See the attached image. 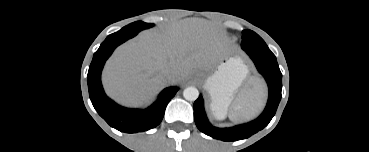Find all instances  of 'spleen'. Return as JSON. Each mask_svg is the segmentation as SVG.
I'll use <instances>...</instances> for the list:
<instances>
[{"mask_svg": "<svg viewBox=\"0 0 369 152\" xmlns=\"http://www.w3.org/2000/svg\"><path fill=\"white\" fill-rule=\"evenodd\" d=\"M265 96L263 88L243 93L230 110L229 118L236 122L253 118L263 108Z\"/></svg>", "mask_w": 369, "mask_h": 152, "instance_id": "obj_1", "label": "spleen"}]
</instances>
